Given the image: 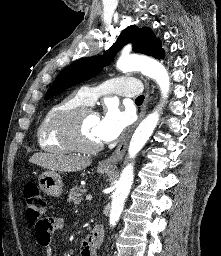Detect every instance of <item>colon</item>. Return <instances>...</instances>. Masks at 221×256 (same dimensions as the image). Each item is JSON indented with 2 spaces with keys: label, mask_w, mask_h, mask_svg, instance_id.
Listing matches in <instances>:
<instances>
[{
  "label": "colon",
  "mask_w": 221,
  "mask_h": 256,
  "mask_svg": "<svg viewBox=\"0 0 221 256\" xmlns=\"http://www.w3.org/2000/svg\"><path fill=\"white\" fill-rule=\"evenodd\" d=\"M24 200L26 205V214L30 223L37 228L45 226V218L43 217L47 203L38 186L29 182L24 187Z\"/></svg>",
  "instance_id": "colon-1"
}]
</instances>
